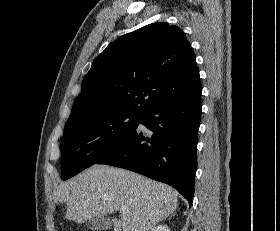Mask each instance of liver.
<instances>
[{
  "instance_id": "6515ba94",
  "label": "liver",
  "mask_w": 280,
  "mask_h": 231,
  "mask_svg": "<svg viewBox=\"0 0 280 231\" xmlns=\"http://www.w3.org/2000/svg\"><path fill=\"white\" fill-rule=\"evenodd\" d=\"M57 199L66 203V217L77 223L123 207L122 217L112 219L114 231H149L178 205L170 185L109 165H92L64 181Z\"/></svg>"
}]
</instances>
